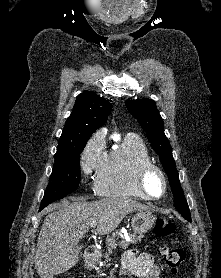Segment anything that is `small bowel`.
<instances>
[{
    "label": "small bowel",
    "mask_w": 221,
    "mask_h": 278,
    "mask_svg": "<svg viewBox=\"0 0 221 278\" xmlns=\"http://www.w3.org/2000/svg\"><path fill=\"white\" fill-rule=\"evenodd\" d=\"M159 268L148 253L125 252L120 274L129 278H158Z\"/></svg>",
    "instance_id": "c3829d8e"
}]
</instances>
